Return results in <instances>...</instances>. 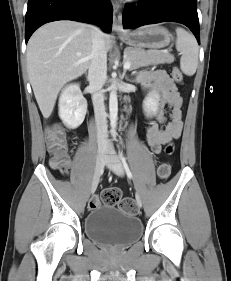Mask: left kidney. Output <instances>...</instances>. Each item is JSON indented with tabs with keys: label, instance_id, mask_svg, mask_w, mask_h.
Returning <instances> with one entry per match:
<instances>
[{
	"label": "left kidney",
	"instance_id": "5707ae66",
	"mask_svg": "<svg viewBox=\"0 0 231 281\" xmlns=\"http://www.w3.org/2000/svg\"><path fill=\"white\" fill-rule=\"evenodd\" d=\"M159 96L157 93H150L143 101V110L147 117H152L158 110Z\"/></svg>",
	"mask_w": 231,
	"mask_h": 281
}]
</instances>
